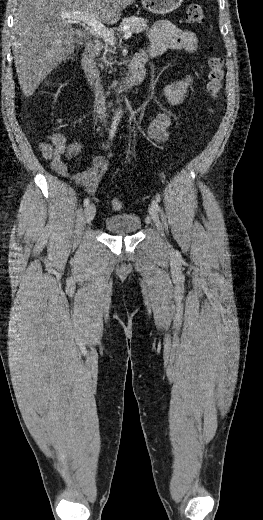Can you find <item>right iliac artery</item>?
I'll return each mask as SVG.
<instances>
[{"label": "right iliac artery", "mask_w": 263, "mask_h": 520, "mask_svg": "<svg viewBox=\"0 0 263 520\" xmlns=\"http://www.w3.org/2000/svg\"><path fill=\"white\" fill-rule=\"evenodd\" d=\"M117 124L118 123L116 121H114L112 126H111L110 133H109L110 139H112L114 137V135H115V131L117 129ZM89 202H90L89 198H85L84 199V206L87 207L89 205Z\"/></svg>", "instance_id": "right-iliac-artery-1"}]
</instances>
